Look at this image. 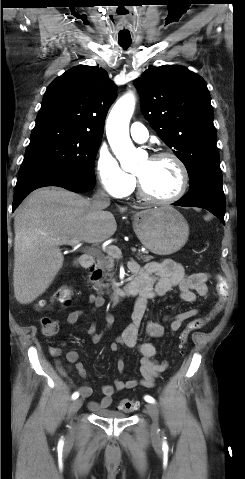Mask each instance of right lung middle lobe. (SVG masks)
I'll return each instance as SVG.
<instances>
[{"label":"right lung middle lobe","instance_id":"1","mask_svg":"<svg viewBox=\"0 0 245 479\" xmlns=\"http://www.w3.org/2000/svg\"><path fill=\"white\" fill-rule=\"evenodd\" d=\"M19 175L57 169L96 181L94 162L101 137L60 127L34 128Z\"/></svg>","mask_w":245,"mask_h":479}]
</instances>
